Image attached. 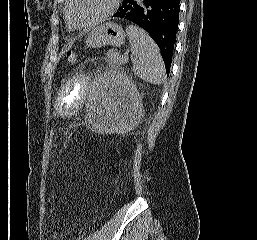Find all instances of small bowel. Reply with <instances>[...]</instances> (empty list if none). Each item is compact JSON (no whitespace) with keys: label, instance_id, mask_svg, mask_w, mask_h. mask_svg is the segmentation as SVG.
Returning <instances> with one entry per match:
<instances>
[{"label":"small bowel","instance_id":"obj_1","mask_svg":"<svg viewBox=\"0 0 257 240\" xmlns=\"http://www.w3.org/2000/svg\"><path fill=\"white\" fill-rule=\"evenodd\" d=\"M95 60H96V58H92V59H91V61H95Z\"/></svg>","mask_w":257,"mask_h":240}]
</instances>
